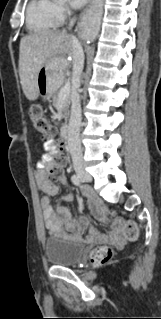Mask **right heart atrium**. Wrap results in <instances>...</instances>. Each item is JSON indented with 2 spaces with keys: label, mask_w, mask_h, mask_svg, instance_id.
Instances as JSON below:
<instances>
[{
  "label": "right heart atrium",
  "mask_w": 161,
  "mask_h": 319,
  "mask_svg": "<svg viewBox=\"0 0 161 319\" xmlns=\"http://www.w3.org/2000/svg\"><path fill=\"white\" fill-rule=\"evenodd\" d=\"M57 13L59 16V24H61L63 22V20L66 18V16L68 15L69 10L65 5L58 4L57 5Z\"/></svg>",
  "instance_id": "d8ad5b80"
}]
</instances>
